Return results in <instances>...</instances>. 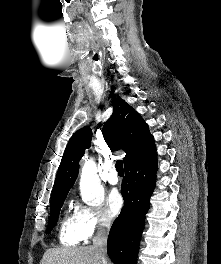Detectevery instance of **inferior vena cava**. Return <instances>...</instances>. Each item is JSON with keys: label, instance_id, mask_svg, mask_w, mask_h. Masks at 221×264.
I'll use <instances>...</instances> for the list:
<instances>
[{"label": "inferior vena cava", "instance_id": "inferior-vena-cava-1", "mask_svg": "<svg viewBox=\"0 0 221 264\" xmlns=\"http://www.w3.org/2000/svg\"><path fill=\"white\" fill-rule=\"evenodd\" d=\"M110 227V221L105 219L101 222L100 228L98 229L96 235L93 238V248L96 253L97 260L99 264H108L106 253H107V238L108 229Z\"/></svg>", "mask_w": 221, "mask_h": 264}]
</instances>
